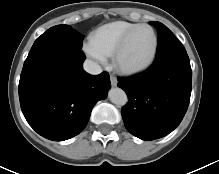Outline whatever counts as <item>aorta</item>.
<instances>
[{
	"label": "aorta",
	"instance_id": "obj_1",
	"mask_svg": "<svg viewBox=\"0 0 219 174\" xmlns=\"http://www.w3.org/2000/svg\"><path fill=\"white\" fill-rule=\"evenodd\" d=\"M108 97L113 104L124 106L128 102V97L121 88H111L108 92Z\"/></svg>",
	"mask_w": 219,
	"mask_h": 174
}]
</instances>
